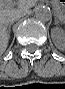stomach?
Masks as SVG:
<instances>
[{
  "label": "stomach",
  "mask_w": 65,
  "mask_h": 89,
  "mask_svg": "<svg viewBox=\"0 0 65 89\" xmlns=\"http://www.w3.org/2000/svg\"><path fill=\"white\" fill-rule=\"evenodd\" d=\"M56 14L61 22L65 21V4H54Z\"/></svg>",
  "instance_id": "1"
}]
</instances>
